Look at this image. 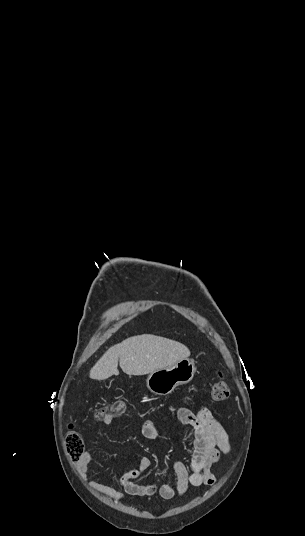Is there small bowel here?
I'll list each match as a JSON object with an SVG mask.
<instances>
[{
  "label": "small bowel",
  "instance_id": "c3829d8e",
  "mask_svg": "<svg viewBox=\"0 0 305 536\" xmlns=\"http://www.w3.org/2000/svg\"><path fill=\"white\" fill-rule=\"evenodd\" d=\"M176 418L188 427V437L192 448L191 467L192 473L181 461H174L172 469L176 474V483H166L161 486L156 484H142L138 481L151 467L152 461L149 457H142L137 467L126 472L120 478V485L124 491L100 483L95 480H87L88 487L99 494L107 496L113 500H121L125 495L130 496H153L159 494L162 499L168 495L184 496L189 486H211L215 483V476L211 468L219 460L220 456L230 451L228 433L220 420L207 408L202 407L196 412L187 408H179L175 414ZM108 421H104V426H109ZM142 435L146 439L155 440L159 438V424L154 420H147L141 429ZM92 461V451L87 450L80 455L79 472L86 478L89 466Z\"/></svg>",
  "mask_w": 305,
  "mask_h": 536
}]
</instances>
